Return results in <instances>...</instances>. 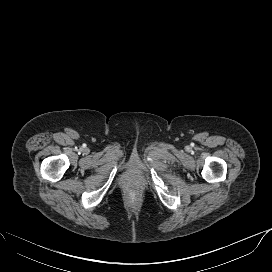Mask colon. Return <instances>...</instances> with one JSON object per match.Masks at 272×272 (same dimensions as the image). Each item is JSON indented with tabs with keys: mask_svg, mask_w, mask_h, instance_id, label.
<instances>
[{
	"mask_svg": "<svg viewBox=\"0 0 272 272\" xmlns=\"http://www.w3.org/2000/svg\"><path fill=\"white\" fill-rule=\"evenodd\" d=\"M129 198L132 199V200H135V199H137V194L135 192H131L129 194Z\"/></svg>",
	"mask_w": 272,
	"mask_h": 272,
	"instance_id": "colon-1",
	"label": "colon"
}]
</instances>
